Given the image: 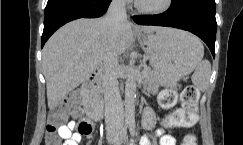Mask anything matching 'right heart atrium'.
Instances as JSON below:
<instances>
[{
    "label": "right heart atrium",
    "instance_id": "right-heart-atrium-1",
    "mask_svg": "<svg viewBox=\"0 0 243 145\" xmlns=\"http://www.w3.org/2000/svg\"><path fill=\"white\" fill-rule=\"evenodd\" d=\"M118 1H120L122 3H128L130 0H118Z\"/></svg>",
    "mask_w": 243,
    "mask_h": 145
}]
</instances>
